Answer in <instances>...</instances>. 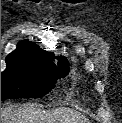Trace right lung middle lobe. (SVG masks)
Returning a JSON list of instances; mask_svg holds the SVG:
<instances>
[{
    "mask_svg": "<svg viewBox=\"0 0 122 123\" xmlns=\"http://www.w3.org/2000/svg\"><path fill=\"white\" fill-rule=\"evenodd\" d=\"M1 73V101L15 98H39L55 87L59 78L68 73L66 67H38L8 62Z\"/></svg>",
    "mask_w": 122,
    "mask_h": 123,
    "instance_id": "dd1d6c3e",
    "label": "right lung middle lobe"
}]
</instances>
